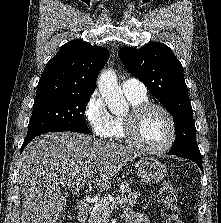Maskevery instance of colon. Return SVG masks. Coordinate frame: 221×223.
I'll return each instance as SVG.
<instances>
[{
  "label": "colon",
  "instance_id": "colon-1",
  "mask_svg": "<svg viewBox=\"0 0 221 223\" xmlns=\"http://www.w3.org/2000/svg\"><path fill=\"white\" fill-rule=\"evenodd\" d=\"M158 196L162 204V215L165 223H182L179 209L175 204L176 190L169 180L162 182ZM58 223H71V219L68 216H62Z\"/></svg>",
  "mask_w": 221,
  "mask_h": 223
}]
</instances>
